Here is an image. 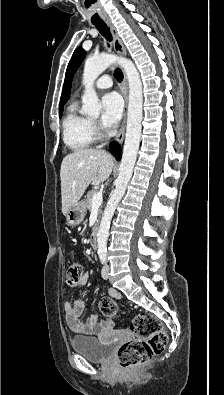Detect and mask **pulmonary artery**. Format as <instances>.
Here are the masks:
<instances>
[{
    "label": "pulmonary artery",
    "instance_id": "1",
    "mask_svg": "<svg viewBox=\"0 0 224 395\" xmlns=\"http://www.w3.org/2000/svg\"><path fill=\"white\" fill-rule=\"evenodd\" d=\"M113 84L112 78L109 75H102L95 82V87L98 89L110 88Z\"/></svg>",
    "mask_w": 224,
    "mask_h": 395
}]
</instances>
